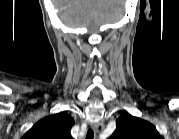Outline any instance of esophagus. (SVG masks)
I'll return each instance as SVG.
<instances>
[{
	"instance_id": "obj_1",
	"label": "esophagus",
	"mask_w": 179,
	"mask_h": 139,
	"mask_svg": "<svg viewBox=\"0 0 179 139\" xmlns=\"http://www.w3.org/2000/svg\"><path fill=\"white\" fill-rule=\"evenodd\" d=\"M92 129L94 130L95 133L99 134L104 129L103 122L94 123L92 125Z\"/></svg>"
}]
</instances>
